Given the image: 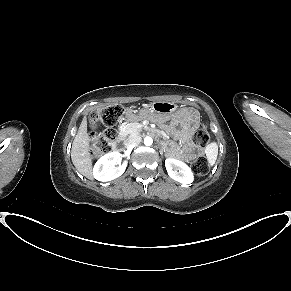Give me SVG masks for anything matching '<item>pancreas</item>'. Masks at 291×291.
Wrapping results in <instances>:
<instances>
[{
	"mask_svg": "<svg viewBox=\"0 0 291 291\" xmlns=\"http://www.w3.org/2000/svg\"><path fill=\"white\" fill-rule=\"evenodd\" d=\"M133 131H134L135 133H138V132H140V128H139V127H134V128H133Z\"/></svg>",
	"mask_w": 291,
	"mask_h": 291,
	"instance_id": "pancreas-1",
	"label": "pancreas"
}]
</instances>
